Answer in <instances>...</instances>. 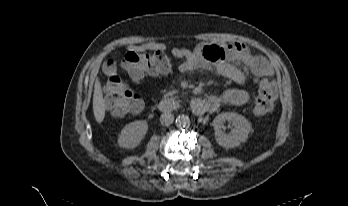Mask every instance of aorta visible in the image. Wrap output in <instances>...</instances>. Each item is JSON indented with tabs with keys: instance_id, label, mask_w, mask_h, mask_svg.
Masks as SVG:
<instances>
[{
	"instance_id": "obj_1",
	"label": "aorta",
	"mask_w": 348,
	"mask_h": 206,
	"mask_svg": "<svg viewBox=\"0 0 348 206\" xmlns=\"http://www.w3.org/2000/svg\"><path fill=\"white\" fill-rule=\"evenodd\" d=\"M190 123V119L187 115L185 114H182V115H179L177 118H176V126L179 127V128H183V127H186L188 126Z\"/></svg>"
}]
</instances>
